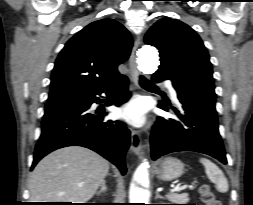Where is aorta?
Returning a JSON list of instances; mask_svg holds the SVG:
<instances>
[{
  "instance_id": "1",
  "label": "aorta",
  "mask_w": 253,
  "mask_h": 205,
  "mask_svg": "<svg viewBox=\"0 0 253 205\" xmlns=\"http://www.w3.org/2000/svg\"><path fill=\"white\" fill-rule=\"evenodd\" d=\"M159 66L158 51L155 47L150 45L143 46L139 51L138 68L144 74L154 73ZM148 190L137 186L135 183L131 184L129 201L131 204H147Z\"/></svg>"
}]
</instances>
